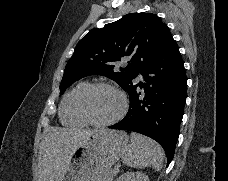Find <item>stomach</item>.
Returning a JSON list of instances; mask_svg holds the SVG:
<instances>
[{
	"label": "stomach",
	"mask_w": 228,
	"mask_h": 181,
	"mask_svg": "<svg viewBox=\"0 0 228 181\" xmlns=\"http://www.w3.org/2000/svg\"><path fill=\"white\" fill-rule=\"evenodd\" d=\"M127 143L129 137L123 131H95L72 153L62 181H109L111 167L122 157Z\"/></svg>",
	"instance_id": "obj_1"
}]
</instances>
